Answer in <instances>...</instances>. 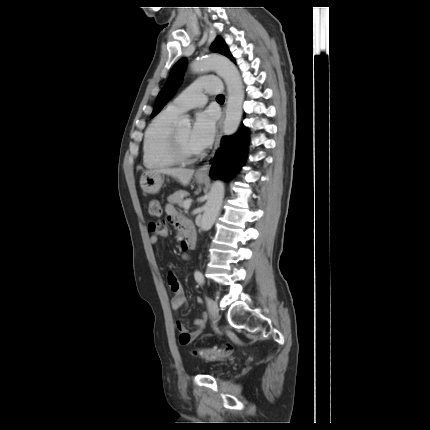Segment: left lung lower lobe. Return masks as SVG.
Here are the masks:
<instances>
[{
  "mask_svg": "<svg viewBox=\"0 0 430 430\" xmlns=\"http://www.w3.org/2000/svg\"><path fill=\"white\" fill-rule=\"evenodd\" d=\"M248 136V131L242 127L237 134L222 138L210 169L211 178L225 179L238 171V168L243 165L249 142Z\"/></svg>",
  "mask_w": 430,
  "mask_h": 430,
  "instance_id": "obj_1",
  "label": "left lung lower lobe"
}]
</instances>
